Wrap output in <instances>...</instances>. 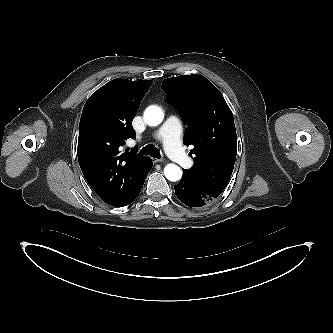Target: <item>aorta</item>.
Masks as SVG:
<instances>
[{
  "label": "aorta",
  "instance_id": "aorta-1",
  "mask_svg": "<svg viewBox=\"0 0 333 333\" xmlns=\"http://www.w3.org/2000/svg\"><path fill=\"white\" fill-rule=\"evenodd\" d=\"M163 111L157 106H150L145 110L144 118L150 126H157L163 120ZM165 177L172 181H178L181 179L182 171L180 167L175 164H168L164 168Z\"/></svg>",
  "mask_w": 333,
  "mask_h": 333
}]
</instances>
